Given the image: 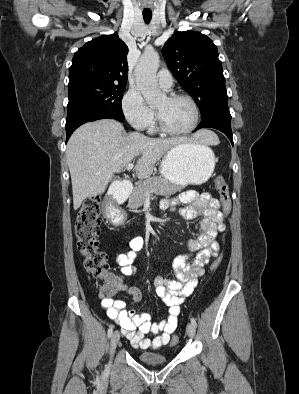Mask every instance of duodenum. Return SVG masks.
Segmentation results:
<instances>
[{
  "mask_svg": "<svg viewBox=\"0 0 299 394\" xmlns=\"http://www.w3.org/2000/svg\"><path fill=\"white\" fill-rule=\"evenodd\" d=\"M130 190L131 187L129 185L121 184L109 191L103 207L105 218L108 221H115L118 219V206L126 200Z\"/></svg>",
  "mask_w": 299,
  "mask_h": 394,
  "instance_id": "1",
  "label": "duodenum"
}]
</instances>
